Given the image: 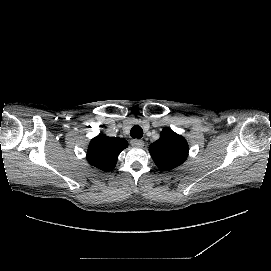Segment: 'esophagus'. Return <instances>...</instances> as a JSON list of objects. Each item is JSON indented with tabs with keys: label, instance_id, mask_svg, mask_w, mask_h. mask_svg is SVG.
Returning a JSON list of instances; mask_svg holds the SVG:
<instances>
[{
	"label": "esophagus",
	"instance_id": "34e87169",
	"mask_svg": "<svg viewBox=\"0 0 271 271\" xmlns=\"http://www.w3.org/2000/svg\"><path fill=\"white\" fill-rule=\"evenodd\" d=\"M130 144L133 146V147H143L144 146V141L142 140H137V139H133L130 141Z\"/></svg>",
	"mask_w": 271,
	"mask_h": 271
}]
</instances>
